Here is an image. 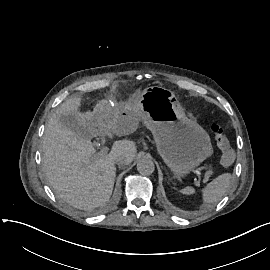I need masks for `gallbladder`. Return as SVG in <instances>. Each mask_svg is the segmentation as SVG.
Wrapping results in <instances>:
<instances>
[{
    "mask_svg": "<svg viewBox=\"0 0 270 270\" xmlns=\"http://www.w3.org/2000/svg\"><path fill=\"white\" fill-rule=\"evenodd\" d=\"M63 123L66 127H68L71 131H73L76 134H81L84 132L83 126L79 123L77 118L75 117H65L63 120Z\"/></svg>",
    "mask_w": 270,
    "mask_h": 270,
    "instance_id": "gallbladder-1",
    "label": "gallbladder"
}]
</instances>
